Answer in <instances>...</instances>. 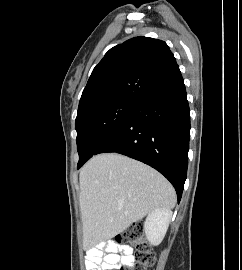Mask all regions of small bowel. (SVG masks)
<instances>
[{"mask_svg": "<svg viewBox=\"0 0 242 270\" xmlns=\"http://www.w3.org/2000/svg\"><path fill=\"white\" fill-rule=\"evenodd\" d=\"M121 252V253H119ZM133 250L129 246L111 242L93 248L86 257L90 270H116L121 266H133Z\"/></svg>", "mask_w": 242, "mask_h": 270, "instance_id": "c3829d8e", "label": "small bowel"}]
</instances>
